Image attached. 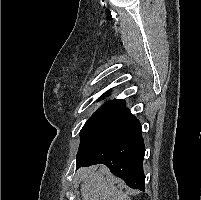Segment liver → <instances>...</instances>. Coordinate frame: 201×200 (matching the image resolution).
Here are the masks:
<instances>
[{
	"mask_svg": "<svg viewBox=\"0 0 201 200\" xmlns=\"http://www.w3.org/2000/svg\"><path fill=\"white\" fill-rule=\"evenodd\" d=\"M82 200H130L114 185V178L105 167L92 166L82 172Z\"/></svg>",
	"mask_w": 201,
	"mask_h": 200,
	"instance_id": "1",
	"label": "liver"
}]
</instances>
